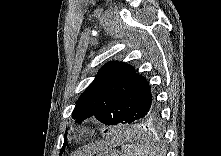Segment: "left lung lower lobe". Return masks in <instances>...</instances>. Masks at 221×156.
<instances>
[{"label":"left lung lower lobe","instance_id":"1","mask_svg":"<svg viewBox=\"0 0 221 156\" xmlns=\"http://www.w3.org/2000/svg\"><path fill=\"white\" fill-rule=\"evenodd\" d=\"M135 127L139 128H156L160 124V110L157 107L154 111L150 112L141 118H138L131 123Z\"/></svg>","mask_w":221,"mask_h":156}]
</instances>
